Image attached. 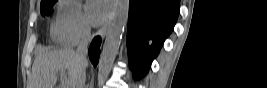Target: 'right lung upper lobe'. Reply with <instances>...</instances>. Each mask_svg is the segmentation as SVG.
Wrapping results in <instances>:
<instances>
[{"label": "right lung upper lobe", "mask_w": 267, "mask_h": 88, "mask_svg": "<svg viewBox=\"0 0 267 88\" xmlns=\"http://www.w3.org/2000/svg\"><path fill=\"white\" fill-rule=\"evenodd\" d=\"M45 1H47V0H41V3H42V2H45Z\"/></svg>", "instance_id": "obj_1"}]
</instances>
